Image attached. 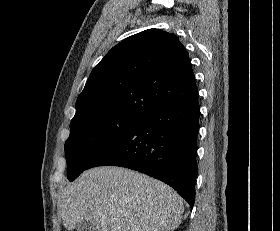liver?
<instances>
[{"instance_id": "1", "label": "liver", "mask_w": 280, "mask_h": 231, "mask_svg": "<svg viewBox=\"0 0 280 231\" xmlns=\"http://www.w3.org/2000/svg\"><path fill=\"white\" fill-rule=\"evenodd\" d=\"M59 211L67 229L96 223L97 231H171L183 199L172 187L126 167H92L63 187Z\"/></svg>"}]
</instances>
